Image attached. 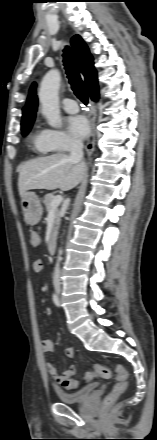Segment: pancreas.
Returning <instances> with one entry per match:
<instances>
[{
	"mask_svg": "<svg viewBox=\"0 0 157 440\" xmlns=\"http://www.w3.org/2000/svg\"><path fill=\"white\" fill-rule=\"evenodd\" d=\"M54 198H55V196L50 193V194L45 195L44 200H43V203L46 207L47 212L54 211V227H53V231H52V239L56 238L58 228L60 225L59 209L56 208V209L52 210V207H51V202L53 201Z\"/></svg>",
	"mask_w": 157,
	"mask_h": 440,
	"instance_id": "cf45deb5",
	"label": "pancreas"
}]
</instances>
